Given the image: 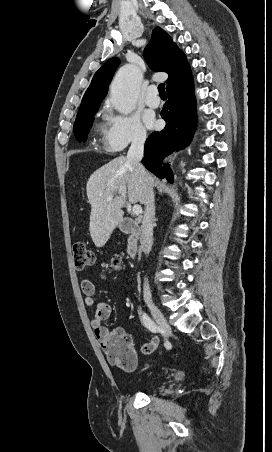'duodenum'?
<instances>
[{
	"label": "duodenum",
	"mask_w": 272,
	"mask_h": 452,
	"mask_svg": "<svg viewBox=\"0 0 272 452\" xmlns=\"http://www.w3.org/2000/svg\"><path fill=\"white\" fill-rule=\"evenodd\" d=\"M120 229L129 235L126 252L130 258H135L139 251V239L141 234L140 224L137 220L123 217Z\"/></svg>",
	"instance_id": "1"
}]
</instances>
